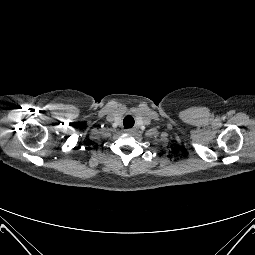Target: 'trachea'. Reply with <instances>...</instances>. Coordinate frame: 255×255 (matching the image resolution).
Returning <instances> with one entry per match:
<instances>
[{
	"label": "trachea",
	"instance_id": "trachea-1",
	"mask_svg": "<svg viewBox=\"0 0 255 255\" xmlns=\"http://www.w3.org/2000/svg\"><path fill=\"white\" fill-rule=\"evenodd\" d=\"M124 128H131L134 126V118L131 115H127L123 120Z\"/></svg>",
	"mask_w": 255,
	"mask_h": 255
}]
</instances>
